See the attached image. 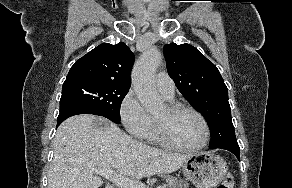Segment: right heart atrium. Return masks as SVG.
<instances>
[{
  "instance_id": "d8ad5b80",
  "label": "right heart atrium",
  "mask_w": 292,
  "mask_h": 188,
  "mask_svg": "<svg viewBox=\"0 0 292 188\" xmlns=\"http://www.w3.org/2000/svg\"><path fill=\"white\" fill-rule=\"evenodd\" d=\"M119 114L127 131L136 139H145L153 125V119L144 110L133 91L123 97Z\"/></svg>"
}]
</instances>
